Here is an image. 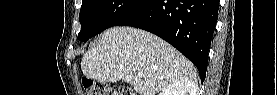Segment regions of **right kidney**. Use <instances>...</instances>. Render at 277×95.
Listing matches in <instances>:
<instances>
[{"mask_svg":"<svg viewBox=\"0 0 277 95\" xmlns=\"http://www.w3.org/2000/svg\"><path fill=\"white\" fill-rule=\"evenodd\" d=\"M159 95H196L191 82L177 81L169 84Z\"/></svg>","mask_w":277,"mask_h":95,"instance_id":"obj_1","label":"right kidney"}]
</instances>
